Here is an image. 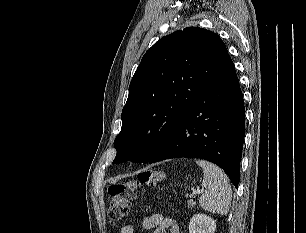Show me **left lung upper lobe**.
Here are the masks:
<instances>
[{"mask_svg":"<svg viewBox=\"0 0 306 233\" xmlns=\"http://www.w3.org/2000/svg\"><path fill=\"white\" fill-rule=\"evenodd\" d=\"M228 57L220 37L203 28L188 27L157 41L131 80L113 163H148Z\"/></svg>","mask_w":306,"mask_h":233,"instance_id":"left-lung-upper-lobe-1","label":"left lung upper lobe"}]
</instances>
